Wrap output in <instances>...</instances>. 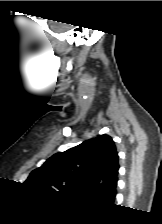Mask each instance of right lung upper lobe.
<instances>
[{
    "label": "right lung upper lobe",
    "instance_id": "1",
    "mask_svg": "<svg viewBox=\"0 0 162 224\" xmlns=\"http://www.w3.org/2000/svg\"><path fill=\"white\" fill-rule=\"evenodd\" d=\"M118 154L108 135H100L51 156L25 183L33 188L111 202L116 195Z\"/></svg>",
    "mask_w": 162,
    "mask_h": 224
}]
</instances>
